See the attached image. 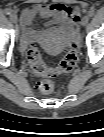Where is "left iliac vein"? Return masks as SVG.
I'll use <instances>...</instances> for the list:
<instances>
[{"label":"left iliac vein","mask_w":104,"mask_h":137,"mask_svg":"<svg viewBox=\"0 0 104 137\" xmlns=\"http://www.w3.org/2000/svg\"><path fill=\"white\" fill-rule=\"evenodd\" d=\"M88 21H89V17L86 15L82 18L81 24L83 26H86L88 24Z\"/></svg>","instance_id":"obj_1"}]
</instances>
